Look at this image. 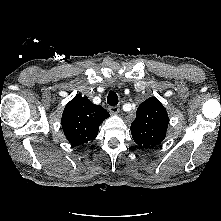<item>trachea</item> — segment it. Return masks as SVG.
<instances>
[{"mask_svg":"<svg viewBox=\"0 0 221 221\" xmlns=\"http://www.w3.org/2000/svg\"><path fill=\"white\" fill-rule=\"evenodd\" d=\"M118 96L114 91H110L107 97V103L110 106H116L118 104Z\"/></svg>","mask_w":221,"mask_h":221,"instance_id":"obj_1","label":"trachea"}]
</instances>
